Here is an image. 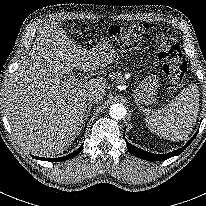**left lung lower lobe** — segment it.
Listing matches in <instances>:
<instances>
[{
    "label": "left lung lower lobe",
    "mask_w": 206,
    "mask_h": 206,
    "mask_svg": "<svg viewBox=\"0 0 206 206\" xmlns=\"http://www.w3.org/2000/svg\"><path fill=\"white\" fill-rule=\"evenodd\" d=\"M196 134L186 143L185 146H183L182 148L175 150L173 152H170L168 154H152L149 152H146L142 149H139L133 145H131L129 142L126 141L127 144V148L128 150L136 157L144 159V160H148V161H161V160H166L168 158H171L173 156L179 155L180 153H182L188 146L189 144L193 141V139L195 138Z\"/></svg>",
    "instance_id": "0a47b994"
}]
</instances>
